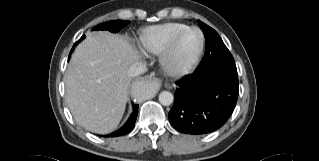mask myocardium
Wrapping results in <instances>:
<instances>
[{
    "label": "myocardium",
    "instance_id": "f54148a6",
    "mask_svg": "<svg viewBox=\"0 0 319 161\" xmlns=\"http://www.w3.org/2000/svg\"><path fill=\"white\" fill-rule=\"evenodd\" d=\"M190 30H196L200 34V45L199 49L194 57V59L185 66H177L173 63L172 56L175 50V47L183 34ZM205 38L202 30L196 26L186 27L182 30L176 32L170 39L166 49L164 50L161 57V65L164 72L172 77H181L190 73L198 64L204 49Z\"/></svg>",
    "mask_w": 319,
    "mask_h": 161
}]
</instances>
